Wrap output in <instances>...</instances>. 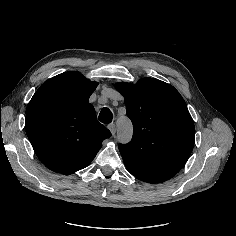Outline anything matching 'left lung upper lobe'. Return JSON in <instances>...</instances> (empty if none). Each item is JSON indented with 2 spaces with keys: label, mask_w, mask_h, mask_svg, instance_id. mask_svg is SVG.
I'll return each mask as SVG.
<instances>
[{
  "label": "left lung upper lobe",
  "mask_w": 236,
  "mask_h": 236,
  "mask_svg": "<svg viewBox=\"0 0 236 236\" xmlns=\"http://www.w3.org/2000/svg\"><path fill=\"white\" fill-rule=\"evenodd\" d=\"M133 137L119 144L127 170L140 180L161 183L187 162L194 146L195 128L187 105L170 84L143 78L136 84L120 82Z\"/></svg>",
  "instance_id": "left-lung-upper-lobe-1"
}]
</instances>
